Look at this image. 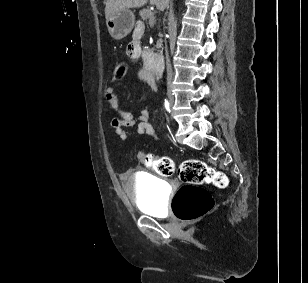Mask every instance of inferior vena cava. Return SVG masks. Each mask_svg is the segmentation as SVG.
I'll return each instance as SVG.
<instances>
[{
  "label": "inferior vena cava",
  "mask_w": 308,
  "mask_h": 283,
  "mask_svg": "<svg viewBox=\"0 0 308 283\" xmlns=\"http://www.w3.org/2000/svg\"><path fill=\"white\" fill-rule=\"evenodd\" d=\"M172 68H171V65L168 63V76H167V82L168 84L171 83L172 81Z\"/></svg>",
  "instance_id": "602c4592"
}]
</instances>
